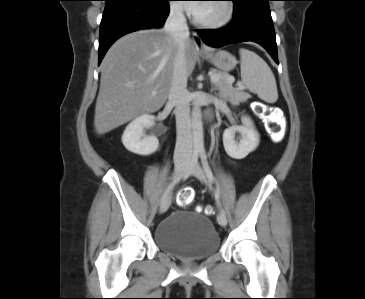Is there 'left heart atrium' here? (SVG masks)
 Wrapping results in <instances>:
<instances>
[{"instance_id":"obj_1","label":"left heart atrium","mask_w":365,"mask_h":299,"mask_svg":"<svg viewBox=\"0 0 365 299\" xmlns=\"http://www.w3.org/2000/svg\"><path fill=\"white\" fill-rule=\"evenodd\" d=\"M203 5L204 4H201V3H190V4H187V9L190 13H192L193 15L196 16L203 8Z\"/></svg>"}]
</instances>
